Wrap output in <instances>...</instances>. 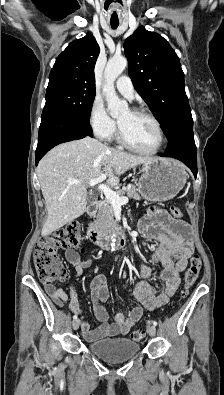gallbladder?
Masks as SVG:
<instances>
[{"mask_svg":"<svg viewBox=\"0 0 224 395\" xmlns=\"http://www.w3.org/2000/svg\"><path fill=\"white\" fill-rule=\"evenodd\" d=\"M94 200H95L94 196L88 195L87 196V200H86V204L90 205Z\"/></svg>","mask_w":224,"mask_h":395,"instance_id":"obj_1","label":"gallbladder"}]
</instances>
